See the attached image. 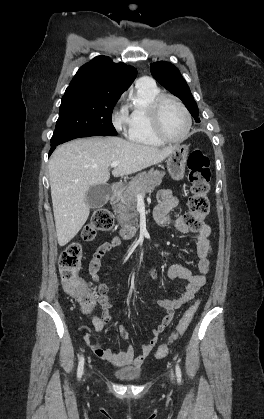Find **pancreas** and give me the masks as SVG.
Masks as SVG:
<instances>
[{
  "instance_id": "obj_1",
  "label": "pancreas",
  "mask_w": 264,
  "mask_h": 419,
  "mask_svg": "<svg viewBox=\"0 0 264 419\" xmlns=\"http://www.w3.org/2000/svg\"><path fill=\"white\" fill-rule=\"evenodd\" d=\"M165 172L151 169L148 172L137 174L121 191L119 202L113 206L118 222L125 227L135 224L138 195L144 198L145 194L152 192L159 186Z\"/></svg>"
}]
</instances>
